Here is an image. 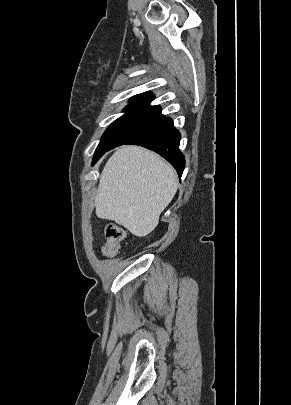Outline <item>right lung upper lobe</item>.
Here are the masks:
<instances>
[{"label":"right lung upper lobe","mask_w":291,"mask_h":405,"mask_svg":"<svg viewBox=\"0 0 291 405\" xmlns=\"http://www.w3.org/2000/svg\"><path fill=\"white\" fill-rule=\"evenodd\" d=\"M154 99V96L151 93H143L134 96L131 101H145V102H150Z\"/></svg>","instance_id":"obj_1"}]
</instances>
